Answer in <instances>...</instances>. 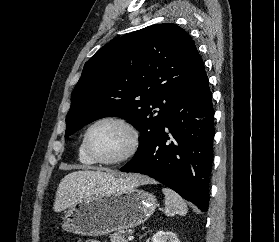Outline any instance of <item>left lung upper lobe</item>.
I'll list each match as a JSON object with an SVG mask.
<instances>
[{
  "label": "left lung upper lobe",
  "instance_id": "obj_1",
  "mask_svg": "<svg viewBox=\"0 0 279 242\" xmlns=\"http://www.w3.org/2000/svg\"><path fill=\"white\" fill-rule=\"evenodd\" d=\"M198 56L189 34L173 23L148 26L106 44L84 65L65 135L103 117H121L140 131L134 157L140 156L157 139Z\"/></svg>",
  "mask_w": 279,
  "mask_h": 242
}]
</instances>
